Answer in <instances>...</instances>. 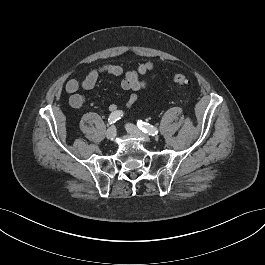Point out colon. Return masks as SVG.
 Here are the masks:
<instances>
[{"mask_svg":"<svg viewBox=\"0 0 265 265\" xmlns=\"http://www.w3.org/2000/svg\"><path fill=\"white\" fill-rule=\"evenodd\" d=\"M173 83L179 89H184L189 85V79L186 75L177 73L172 77Z\"/></svg>","mask_w":265,"mask_h":265,"instance_id":"1","label":"colon"}]
</instances>
